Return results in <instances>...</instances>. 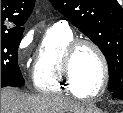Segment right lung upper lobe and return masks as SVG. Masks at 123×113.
Instances as JSON below:
<instances>
[{
    "mask_svg": "<svg viewBox=\"0 0 123 113\" xmlns=\"http://www.w3.org/2000/svg\"><path fill=\"white\" fill-rule=\"evenodd\" d=\"M35 0H1V37L23 33Z\"/></svg>",
    "mask_w": 123,
    "mask_h": 113,
    "instance_id": "obj_1",
    "label": "right lung upper lobe"
}]
</instances>
